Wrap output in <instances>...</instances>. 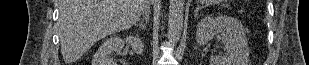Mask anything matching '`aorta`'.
<instances>
[{"label": "aorta", "instance_id": "762f6f07", "mask_svg": "<svg viewBox=\"0 0 309 65\" xmlns=\"http://www.w3.org/2000/svg\"><path fill=\"white\" fill-rule=\"evenodd\" d=\"M185 0H169L168 39L177 43L181 37Z\"/></svg>", "mask_w": 309, "mask_h": 65}]
</instances>
